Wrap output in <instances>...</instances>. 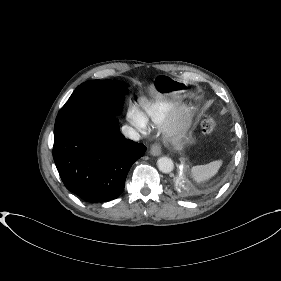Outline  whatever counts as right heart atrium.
Returning <instances> with one entry per match:
<instances>
[{
	"instance_id": "obj_1",
	"label": "right heart atrium",
	"mask_w": 281,
	"mask_h": 281,
	"mask_svg": "<svg viewBox=\"0 0 281 281\" xmlns=\"http://www.w3.org/2000/svg\"><path fill=\"white\" fill-rule=\"evenodd\" d=\"M128 119L129 121L137 127L139 130L144 129V125L139 117L138 110L135 107H130L128 110Z\"/></svg>"
}]
</instances>
